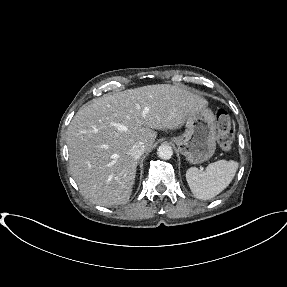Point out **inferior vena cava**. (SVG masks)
Segmentation results:
<instances>
[{
  "instance_id": "inferior-vena-cava-1",
  "label": "inferior vena cava",
  "mask_w": 287,
  "mask_h": 287,
  "mask_svg": "<svg viewBox=\"0 0 287 287\" xmlns=\"http://www.w3.org/2000/svg\"><path fill=\"white\" fill-rule=\"evenodd\" d=\"M145 152V145L143 142H138L132 146L130 149V154L134 159H139Z\"/></svg>"
}]
</instances>
